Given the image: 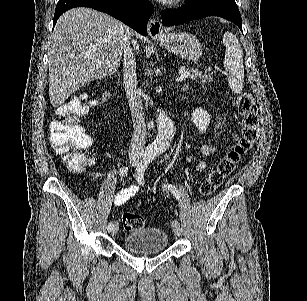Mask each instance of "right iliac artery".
I'll list each match as a JSON object with an SVG mask.
<instances>
[{"label":"right iliac artery","mask_w":307,"mask_h":301,"mask_svg":"<svg viewBox=\"0 0 307 301\" xmlns=\"http://www.w3.org/2000/svg\"><path fill=\"white\" fill-rule=\"evenodd\" d=\"M143 160H144V159H143ZM127 174H128V167H126V166L121 167V168H120V175H121V176H127ZM112 229H113V223L110 222V223L108 224L107 230L110 232Z\"/></svg>","instance_id":"1"}]
</instances>
